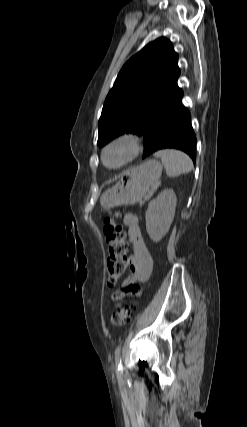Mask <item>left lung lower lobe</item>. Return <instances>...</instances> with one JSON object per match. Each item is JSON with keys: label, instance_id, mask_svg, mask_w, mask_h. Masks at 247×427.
<instances>
[{"label": "left lung lower lobe", "instance_id": "1", "mask_svg": "<svg viewBox=\"0 0 247 427\" xmlns=\"http://www.w3.org/2000/svg\"><path fill=\"white\" fill-rule=\"evenodd\" d=\"M183 94L159 113L148 125L145 133L143 158L154 152L174 148L187 153L196 161V137L189 111L182 105Z\"/></svg>", "mask_w": 247, "mask_h": 427}]
</instances>
